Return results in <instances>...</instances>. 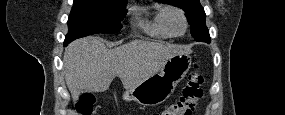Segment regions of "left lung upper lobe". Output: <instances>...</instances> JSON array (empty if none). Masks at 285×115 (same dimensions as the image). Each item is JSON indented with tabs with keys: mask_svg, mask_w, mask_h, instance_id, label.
I'll use <instances>...</instances> for the list:
<instances>
[{
	"mask_svg": "<svg viewBox=\"0 0 285 115\" xmlns=\"http://www.w3.org/2000/svg\"><path fill=\"white\" fill-rule=\"evenodd\" d=\"M183 9L191 25V35L195 41L210 43L209 31L205 24V12L199 0H155Z\"/></svg>",
	"mask_w": 285,
	"mask_h": 115,
	"instance_id": "5c2ea615",
	"label": "left lung upper lobe"
}]
</instances>
